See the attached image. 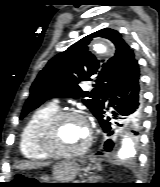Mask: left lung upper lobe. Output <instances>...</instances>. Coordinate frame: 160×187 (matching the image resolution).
Segmentation results:
<instances>
[{"label": "left lung upper lobe", "mask_w": 160, "mask_h": 187, "mask_svg": "<svg viewBox=\"0 0 160 187\" xmlns=\"http://www.w3.org/2000/svg\"><path fill=\"white\" fill-rule=\"evenodd\" d=\"M98 36L112 41L116 47L114 57L106 62L97 60L88 51L91 39ZM134 59L132 49L116 30L105 28L82 38L52 58L39 73L31 86L30 96L25 102L20 118L54 97H83L85 99L82 102L96 117L104 96L126 75ZM90 77H96L94 89L91 92L83 91L79 85L83 81L91 80ZM124 125L135 136L139 135V124L134 125L131 121L125 120Z\"/></svg>", "instance_id": "5c2ea615"}]
</instances>
